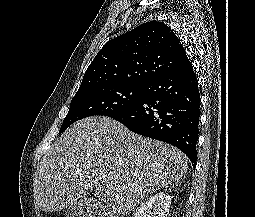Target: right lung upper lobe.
I'll use <instances>...</instances> for the list:
<instances>
[{"instance_id": "1", "label": "right lung upper lobe", "mask_w": 255, "mask_h": 217, "mask_svg": "<svg viewBox=\"0 0 255 217\" xmlns=\"http://www.w3.org/2000/svg\"><path fill=\"white\" fill-rule=\"evenodd\" d=\"M189 61L180 39L163 22H146L107 42L87 68L78 91L145 85Z\"/></svg>"}]
</instances>
